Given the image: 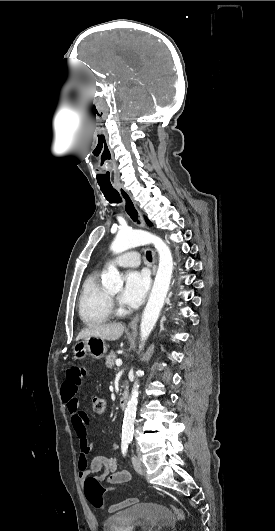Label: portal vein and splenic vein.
<instances>
[{"mask_svg":"<svg viewBox=\"0 0 275 531\" xmlns=\"http://www.w3.org/2000/svg\"><path fill=\"white\" fill-rule=\"evenodd\" d=\"M115 363H116L117 367H121V365H122L121 359H116Z\"/></svg>","mask_w":275,"mask_h":531,"instance_id":"18ae733b","label":"portal vein and splenic vein"}]
</instances>
